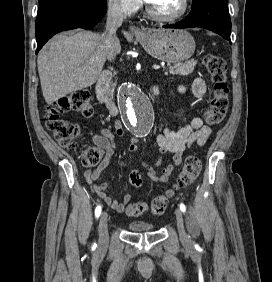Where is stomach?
I'll list each match as a JSON object with an SVG mask.
<instances>
[{"label":"stomach","mask_w":272,"mask_h":282,"mask_svg":"<svg viewBox=\"0 0 272 282\" xmlns=\"http://www.w3.org/2000/svg\"><path fill=\"white\" fill-rule=\"evenodd\" d=\"M135 36L147 53L167 63H180L195 51L194 38L182 29H142Z\"/></svg>","instance_id":"obj_1"}]
</instances>
